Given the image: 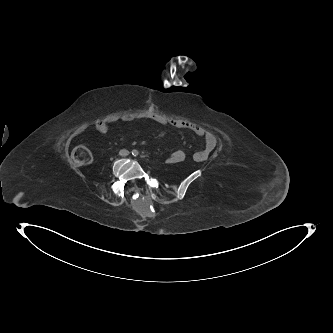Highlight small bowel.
I'll list each match as a JSON object with an SVG mask.
<instances>
[{
  "instance_id": "c3829d8e",
  "label": "small bowel",
  "mask_w": 333,
  "mask_h": 333,
  "mask_svg": "<svg viewBox=\"0 0 333 333\" xmlns=\"http://www.w3.org/2000/svg\"><path fill=\"white\" fill-rule=\"evenodd\" d=\"M141 119H150L160 125H169L177 129H186L193 132L198 137H201L204 141V146L193 154L192 159L195 162L206 161L216 146V137L213 133H211L202 126L187 120L167 118L166 116L160 114H150V115L133 114L126 116L122 120L128 122ZM110 123L111 122L109 121L99 120L96 122L95 127L99 132L106 133L110 128ZM167 163H179V162L178 161L173 162L172 160H170Z\"/></svg>"
}]
</instances>
